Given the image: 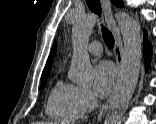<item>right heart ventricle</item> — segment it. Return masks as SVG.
Segmentation results:
<instances>
[{
    "label": "right heart ventricle",
    "mask_w": 156,
    "mask_h": 124,
    "mask_svg": "<svg viewBox=\"0 0 156 124\" xmlns=\"http://www.w3.org/2000/svg\"><path fill=\"white\" fill-rule=\"evenodd\" d=\"M78 87L58 81L52 87L46 104L47 115L57 121L70 122L76 119V96Z\"/></svg>",
    "instance_id": "e07e8e85"
}]
</instances>
